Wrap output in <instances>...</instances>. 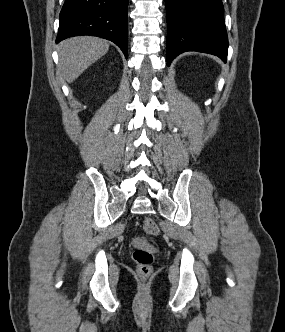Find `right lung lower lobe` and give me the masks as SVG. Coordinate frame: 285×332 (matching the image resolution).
<instances>
[{
  "mask_svg": "<svg viewBox=\"0 0 285 332\" xmlns=\"http://www.w3.org/2000/svg\"><path fill=\"white\" fill-rule=\"evenodd\" d=\"M128 0H66L59 18L56 43L78 35L111 40L127 58Z\"/></svg>",
  "mask_w": 285,
  "mask_h": 332,
  "instance_id": "1",
  "label": "right lung lower lobe"
}]
</instances>
